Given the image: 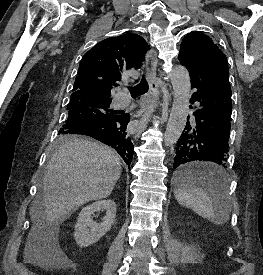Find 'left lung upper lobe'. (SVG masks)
Masks as SVG:
<instances>
[{"label":"left lung upper lobe","mask_w":263,"mask_h":275,"mask_svg":"<svg viewBox=\"0 0 263 275\" xmlns=\"http://www.w3.org/2000/svg\"><path fill=\"white\" fill-rule=\"evenodd\" d=\"M179 61L189 72L200 75H213L228 70L226 56L216 44L200 31L188 33L180 47Z\"/></svg>","instance_id":"left-lung-upper-lobe-1"}]
</instances>
